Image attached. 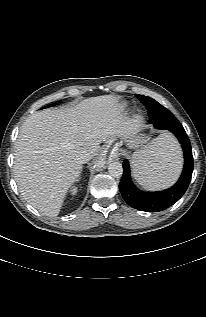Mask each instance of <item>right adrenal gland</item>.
Returning <instances> with one entry per match:
<instances>
[{"instance_id":"obj_1","label":"right adrenal gland","mask_w":206,"mask_h":317,"mask_svg":"<svg viewBox=\"0 0 206 317\" xmlns=\"http://www.w3.org/2000/svg\"><path fill=\"white\" fill-rule=\"evenodd\" d=\"M81 171H82V169H81ZM81 171H80V173H81ZM80 178H79V176H78V179H77V181L79 180Z\"/></svg>"}]
</instances>
